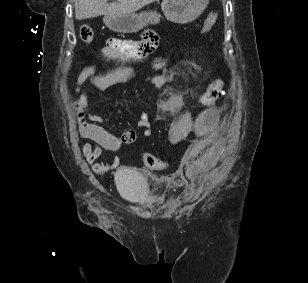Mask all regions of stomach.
Returning a JSON list of instances; mask_svg holds the SVG:
<instances>
[{"mask_svg": "<svg viewBox=\"0 0 308 283\" xmlns=\"http://www.w3.org/2000/svg\"><path fill=\"white\" fill-rule=\"evenodd\" d=\"M208 5V0H163L161 8L164 16L171 22L185 24L194 21ZM160 14L143 11L139 14L106 15V26L114 32L135 33L148 23H158Z\"/></svg>", "mask_w": 308, "mask_h": 283, "instance_id": "0dacf381", "label": "stomach"}]
</instances>
